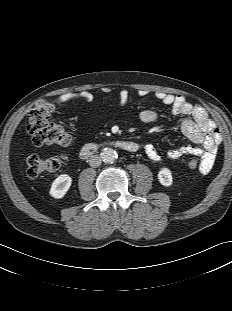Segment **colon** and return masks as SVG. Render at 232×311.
I'll list each match as a JSON object with an SVG mask.
<instances>
[{
  "label": "colon",
  "instance_id": "5ec220e1",
  "mask_svg": "<svg viewBox=\"0 0 232 311\" xmlns=\"http://www.w3.org/2000/svg\"><path fill=\"white\" fill-rule=\"evenodd\" d=\"M56 104L47 100L38 101L29 112L28 133L35 146L69 145L72 141L70 134L59 124L49 120ZM63 156L41 157L29 154L26 157L27 174L29 177L57 171L64 162ZM190 169L198 167V160L191 158L188 161Z\"/></svg>",
  "mask_w": 232,
  "mask_h": 311
}]
</instances>
